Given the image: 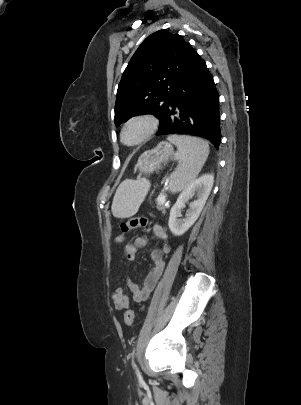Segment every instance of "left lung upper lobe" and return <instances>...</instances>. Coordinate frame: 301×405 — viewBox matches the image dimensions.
<instances>
[{"mask_svg": "<svg viewBox=\"0 0 301 405\" xmlns=\"http://www.w3.org/2000/svg\"><path fill=\"white\" fill-rule=\"evenodd\" d=\"M194 53L193 47L178 34L159 30L148 36L119 83L115 125L138 114H154L160 128Z\"/></svg>", "mask_w": 301, "mask_h": 405, "instance_id": "1", "label": "left lung upper lobe"}]
</instances>
